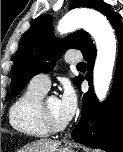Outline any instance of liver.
<instances>
[{
    "label": "liver",
    "mask_w": 123,
    "mask_h": 152,
    "mask_svg": "<svg viewBox=\"0 0 123 152\" xmlns=\"http://www.w3.org/2000/svg\"><path fill=\"white\" fill-rule=\"evenodd\" d=\"M59 145H60L59 141L41 139L29 145H26L18 152H55V150Z\"/></svg>",
    "instance_id": "liver-1"
}]
</instances>
